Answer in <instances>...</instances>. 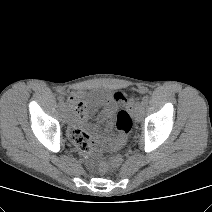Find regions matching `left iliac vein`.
Returning a JSON list of instances; mask_svg holds the SVG:
<instances>
[{
  "instance_id": "left-iliac-vein-1",
  "label": "left iliac vein",
  "mask_w": 212,
  "mask_h": 212,
  "mask_svg": "<svg viewBox=\"0 0 212 212\" xmlns=\"http://www.w3.org/2000/svg\"><path fill=\"white\" fill-rule=\"evenodd\" d=\"M144 105L142 102H138L135 107V119L140 122L143 116Z\"/></svg>"
}]
</instances>
